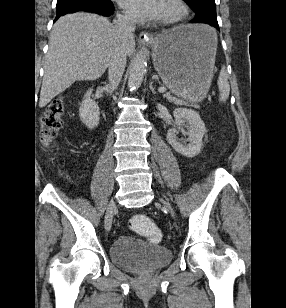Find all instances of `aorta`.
Here are the masks:
<instances>
[{
  "label": "aorta",
  "mask_w": 286,
  "mask_h": 308,
  "mask_svg": "<svg viewBox=\"0 0 286 308\" xmlns=\"http://www.w3.org/2000/svg\"><path fill=\"white\" fill-rule=\"evenodd\" d=\"M147 67V55L146 53L139 54L129 71L128 87L131 91L136 90L142 84Z\"/></svg>",
  "instance_id": "1"
}]
</instances>
